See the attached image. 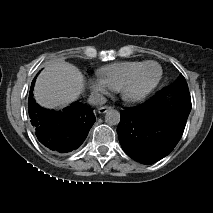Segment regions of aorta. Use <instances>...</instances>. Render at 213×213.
I'll use <instances>...</instances> for the list:
<instances>
[{
    "label": "aorta",
    "instance_id": "1",
    "mask_svg": "<svg viewBox=\"0 0 213 213\" xmlns=\"http://www.w3.org/2000/svg\"><path fill=\"white\" fill-rule=\"evenodd\" d=\"M105 122L110 126L118 125L120 122V112L109 108L105 113Z\"/></svg>",
    "mask_w": 213,
    "mask_h": 213
}]
</instances>
